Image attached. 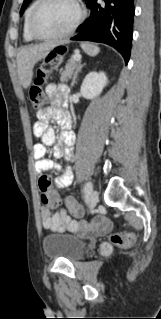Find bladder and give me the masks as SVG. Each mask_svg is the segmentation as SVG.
I'll return each instance as SVG.
<instances>
[{
    "label": "bladder",
    "instance_id": "obj_1",
    "mask_svg": "<svg viewBox=\"0 0 161 319\" xmlns=\"http://www.w3.org/2000/svg\"><path fill=\"white\" fill-rule=\"evenodd\" d=\"M43 249L50 259L73 261L84 255L86 243L74 235H48L43 240Z\"/></svg>",
    "mask_w": 161,
    "mask_h": 319
}]
</instances>
